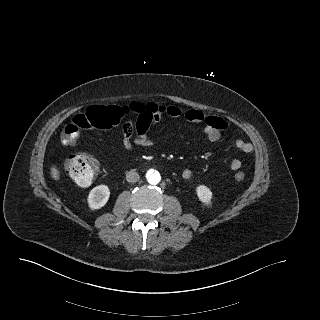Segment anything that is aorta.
<instances>
[{
  "label": "aorta",
  "instance_id": "aorta-1",
  "mask_svg": "<svg viewBox=\"0 0 320 320\" xmlns=\"http://www.w3.org/2000/svg\"><path fill=\"white\" fill-rule=\"evenodd\" d=\"M146 177H147L148 182L152 185L158 184L161 180L160 173L158 171H154V170H149L147 172Z\"/></svg>",
  "mask_w": 320,
  "mask_h": 320
}]
</instances>
